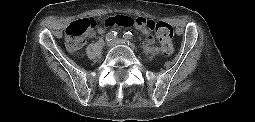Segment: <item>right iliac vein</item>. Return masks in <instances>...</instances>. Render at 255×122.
Segmentation results:
<instances>
[{"label":"right iliac vein","mask_w":255,"mask_h":122,"mask_svg":"<svg viewBox=\"0 0 255 122\" xmlns=\"http://www.w3.org/2000/svg\"><path fill=\"white\" fill-rule=\"evenodd\" d=\"M112 44H113V43H112L111 41H108V42H107V45H108L109 47H111Z\"/></svg>","instance_id":"63e3f726"}]
</instances>
